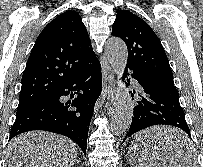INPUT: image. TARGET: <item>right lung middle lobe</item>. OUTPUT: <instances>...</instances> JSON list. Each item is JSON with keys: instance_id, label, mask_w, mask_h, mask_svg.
I'll use <instances>...</instances> for the list:
<instances>
[{"instance_id": "right-lung-middle-lobe-1", "label": "right lung middle lobe", "mask_w": 203, "mask_h": 167, "mask_svg": "<svg viewBox=\"0 0 203 167\" xmlns=\"http://www.w3.org/2000/svg\"><path fill=\"white\" fill-rule=\"evenodd\" d=\"M22 108H24V107H20V106H18L17 110L22 109Z\"/></svg>"}]
</instances>
